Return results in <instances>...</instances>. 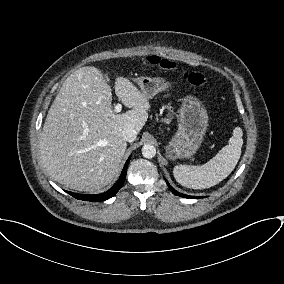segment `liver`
I'll return each instance as SVG.
<instances>
[{
  "label": "liver",
  "instance_id": "obj_1",
  "mask_svg": "<svg viewBox=\"0 0 284 284\" xmlns=\"http://www.w3.org/2000/svg\"><path fill=\"white\" fill-rule=\"evenodd\" d=\"M115 94L131 109L116 114L112 89L95 67H82L63 83L41 132L39 148L49 175L62 185L96 192L112 185L121 171L125 127L137 133L148 119V98L129 79H115Z\"/></svg>",
  "mask_w": 284,
  "mask_h": 284
}]
</instances>
